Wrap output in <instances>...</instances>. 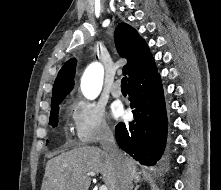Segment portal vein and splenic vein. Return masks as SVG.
I'll return each mask as SVG.
<instances>
[{"label":"portal vein and splenic vein","instance_id":"18ae733b","mask_svg":"<svg viewBox=\"0 0 221 190\" xmlns=\"http://www.w3.org/2000/svg\"><path fill=\"white\" fill-rule=\"evenodd\" d=\"M89 176H95L96 173L95 172H89L88 173ZM99 190H108L107 186L106 185H101Z\"/></svg>","mask_w":221,"mask_h":190}]
</instances>
